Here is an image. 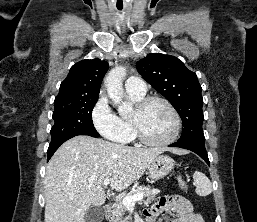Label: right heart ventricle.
<instances>
[{"label": "right heart ventricle", "instance_id": "1", "mask_svg": "<svg viewBox=\"0 0 257 222\" xmlns=\"http://www.w3.org/2000/svg\"><path fill=\"white\" fill-rule=\"evenodd\" d=\"M127 95H128V99L133 103H138L140 100L144 98V95H136L129 92H127ZM119 120L127 128L129 132V140L127 142L131 141L133 138L134 132H133L130 116L122 114L120 115Z\"/></svg>", "mask_w": 257, "mask_h": 222}]
</instances>
